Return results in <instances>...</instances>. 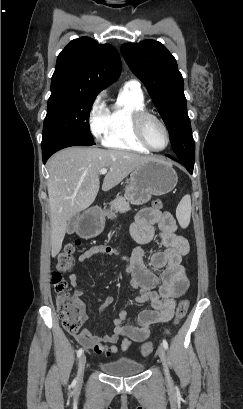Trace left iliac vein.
Here are the masks:
<instances>
[{
	"label": "left iliac vein",
	"mask_w": 243,
	"mask_h": 409,
	"mask_svg": "<svg viewBox=\"0 0 243 409\" xmlns=\"http://www.w3.org/2000/svg\"><path fill=\"white\" fill-rule=\"evenodd\" d=\"M157 352L160 357L161 363L163 365L165 377L166 379H170V374H169L168 365H167L166 351L164 347L162 345H159Z\"/></svg>",
	"instance_id": "1"
}]
</instances>
